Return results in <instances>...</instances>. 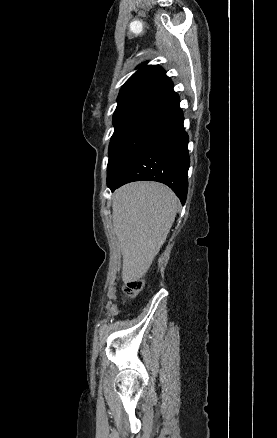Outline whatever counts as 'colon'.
Wrapping results in <instances>:
<instances>
[{
    "label": "colon",
    "instance_id": "5ec220e1",
    "mask_svg": "<svg viewBox=\"0 0 277 438\" xmlns=\"http://www.w3.org/2000/svg\"><path fill=\"white\" fill-rule=\"evenodd\" d=\"M142 291V283L139 280L130 281L124 289L125 295L128 297H134Z\"/></svg>",
    "mask_w": 277,
    "mask_h": 438
}]
</instances>
